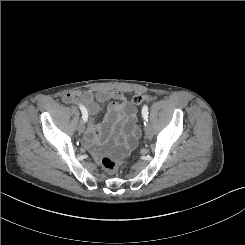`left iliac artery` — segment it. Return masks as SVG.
I'll return each mask as SVG.
<instances>
[{
  "label": "left iliac artery",
  "mask_w": 245,
  "mask_h": 245,
  "mask_svg": "<svg viewBox=\"0 0 245 245\" xmlns=\"http://www.w3.org/2000/svg\"><path fill=\"white\" fill-rule=\"evenodd\" d=\"M142 116L145 121H148V106L147 105H144L142 108ZM144 124L146 125V122H144Z\"/></svg>",
  "instance_id": "obj_1"
}]
</instances>
